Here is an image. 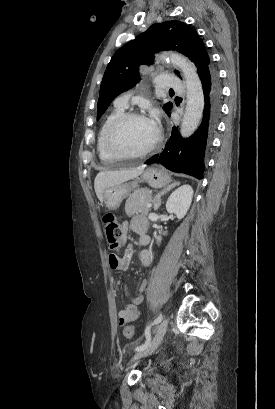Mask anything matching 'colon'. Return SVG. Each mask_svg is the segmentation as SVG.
<instances>
[{"instance_id": "obj_1", "label": "colon", "mask_w": 275, "mask_h": 409, "mask_svg": "<svg viewBox=\"0 0 275 409\" xmlns=\"http://www.w3.org/2000/svg\"><path fill=\"white\" fill-rule=\"evenodd\" d=\"M103 227L105 230L106 240L110 250L114 251L115 255H120L121 245V229L119 222L113 213H107L102 218ZM135 327L131 324L125 325L123 329L124 337L128 340L134 336Z\"/></svg>"}]
</instances>
